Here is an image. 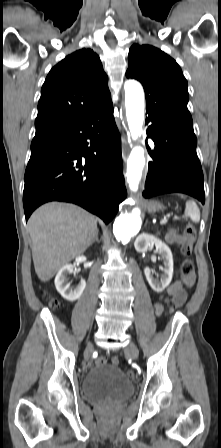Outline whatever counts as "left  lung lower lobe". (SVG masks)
<instances>
[{
	"label": "left lung lower lobe",
	"mask_w": 221,
	"mask_h": 448,
	"mask_svg": "<svg viewBox=\"0 0 221 448\" xmlns=\"http://www.w3.org/2000/svg\"><path fill=\"white\" fill-rule=\"evenodd\" d=\"M147 130L148 137L155 143L150 155L145 191L150 198L159 194L181 192L191 195L203 204L205 202L203 172L196 154L197 139L182 131L152 118Z\"/></svg>",
	"instance_id": "1"
}]
</instances>
